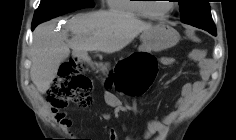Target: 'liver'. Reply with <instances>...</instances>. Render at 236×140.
I'll return each instance as SVG.
<instances>
[{
	"label": "liver",
	"instance_id": "1",
	"mask_svg": "<svg viewBox=\"0 0 236 140\" xmlns=\"http://www.w3.org/2000/svg\"><path fill=\"white\" fill-rule=\"evenodd\" d=\"M152 27L133 15L112 11L77 15L60 33L54 31L53 23L41 24L33 33L31 79L38 91L45 94L70 49L79 56H86L88 51L114 53ZM68 31L71 39L67 38Z\"/></svg>",
	"mask_w": 236,
	"mask_h": 140
}]
</instances>
